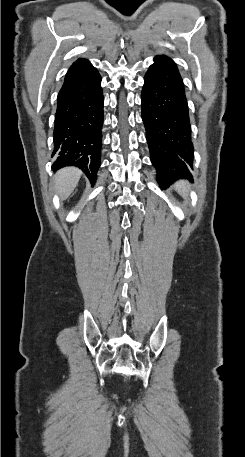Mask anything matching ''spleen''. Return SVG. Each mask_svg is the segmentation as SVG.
I'll use <instances>...</instances> for the list:
<instances>
[{
    "label": "spleen",
    "instance_id": "spleen-1",
    "mask_svg": "<svg viewBox=\"0 0 245 457\" xmlns=\"http://www.w3.org/2000/svg\"><path fill=\"white\" fill-rule=\"evenodd\" d=\"M175 190H177V192H179L183 198H188L190 184L187 182V180H179V182H176L175 184Z\"/></svg>",
    "mask_w": 245,
    "mask_h": 457
}]
</instances>
